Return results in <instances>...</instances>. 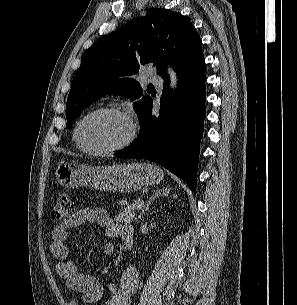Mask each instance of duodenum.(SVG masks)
I'll use <instances>...</instances> for the list:
<instances>
[{
    "label": "duodenum",
    "mask_w": 297,
    "mask_h": 305,
    "mask_svg": "<svg viewBox=\"0 0 297 305\" xmlns=\"http://www.w3.org/2000/svg\"><path fill=\"white\" fill-rule=\"evenodd\" d=\"M122 239L127 247H131L133 243V230H124L122 233Z\"/></svg>",
    "instance_id": "obj_1"
}]
</instances>
